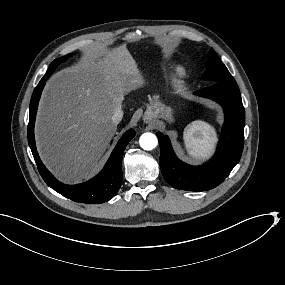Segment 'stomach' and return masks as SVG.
I'll return each instance as SVG.
<instances>
[{"mask_svg":"<svg viewBox=\"0 0 285 285\" xmlns=\"http://www.w3.org/2000/svg\"><path fill=\"white\" fill-rule=\"evenodd\" d=\"M153 113L154 118H162L168 123L174 122L173 109L170 106H166L160 101L159 95H154L149 105L147 106L146 114Z\"/></svg>","mask_w":285,"mask_h":285,"instance_id":"0dacf381","label":"stomach"}]
</instances>
